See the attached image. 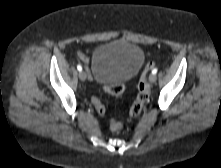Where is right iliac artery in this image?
Listing matches in <instances>:
<instances>
[{
    "mask_svg": "<svg viewBox=\"0 0 221 168\" xmlns=\"http://www.w3.org/2000/svg\"><path fill=\"white\" fill-rule=\"evenodd\" d=\"M77 69H78V71H82L81 65H77Z\"/></svg>",
    "mask_w": 221,
    "mask_h": 168,
    "instance_id": "obj_1",
    "label": "right iliac artery"
}]
</instances>
